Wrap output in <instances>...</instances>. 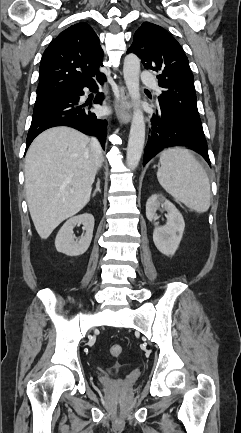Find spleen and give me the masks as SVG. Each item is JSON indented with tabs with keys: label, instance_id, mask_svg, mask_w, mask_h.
<instances>
[{
	"label": "spleen",
	"instance_id": "3e777b00",
	"mask_svg": "<svg viewBox=\"0 0 241 433\" xmlns=\"http://www.w3.org/2000/svg\"><path fill=\"white\" fill-rule=\"evenodd\" d=\"M160 165L157 178L168 194L197 213L209 209V178L188 149L175 147L164 150L160 155Z\"/></svg>",
	"mask_w": 241,
	"mask_h": 433
}]
</instances>
